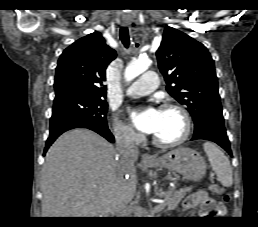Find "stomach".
Wrapping results in <instances>:
<instances>
[{"label": "stomach", "instance_id": "1", "mask_svg": "<svg viewBox=\"0 0 258 227\" xmlns=\"http://www.w3.org/2000/svg\"><path fill=\"white\" fill-rule=\"evenodd\" d=\"M146 167L163 169L183 175L188 180L198 181L206 173L204 158L195 150L186 147L175 148L156 157Z\"/></svg>", "mask_w": 258, "mask_h": 227}]
</instances>
